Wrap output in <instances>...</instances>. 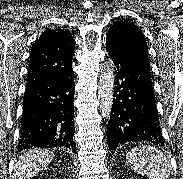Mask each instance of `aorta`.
<instances>
[{
  "instance_id": "762f6f07",
  "label": "aorta",
  "mask_w": 183,
  "mask_h": 179,
  "mask_svg": "<svg viewBox=\"0 0 183 179\" xmlns=\"http://www.w3.org/2000/svg\"><path fill=\"white\" fill-rule=\"evenodd\" d=\"M114 80V65L110 62H107L101 69L98 88V99L100 101L101 115L106 119H109L111 116L114 94Z\"/></svg>"
}]
</instances>
